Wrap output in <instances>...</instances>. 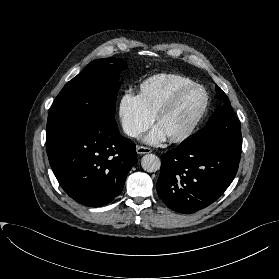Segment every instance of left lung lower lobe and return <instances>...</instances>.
I'll return each instance as SVG.
<instances>
[{
	"label": "left lung lower lobe",
	"instance_id": "obj_1",
	"mask_svg": "<svg viewBox=\"0 0 279 279\" xmlns=\"http://www.w3.org/2000/svg\"><path fill=\"white\" fill-rule=\"evenodd\" d=\"M241 149L222 144L181 146L161 157L160 199L172 210L191 213L220 197L233 181Z\"/></svg>",
	"mask_w": 279,
	"mask_h": 279
}]
</instances>
